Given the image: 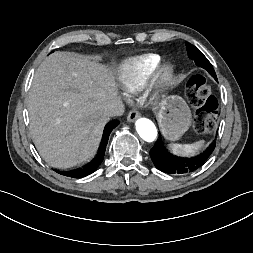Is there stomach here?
<instances>
[{
  "label": "stomach",
  "instance_id": "stomach-1",
  "mask_svg": "<svg viewBox=\"0 0 253 253\" xmlns=\"http://www.w3.org/2000/svg\"><path fill=\"white\" fill-rule=\"evenodd\" d=\"M163 135L170 141L178 140L192 122L191 111L183 98L177 95L164 97L158 112Z\"/></svg>",
  "mask_w": 253,
  "mask_h": 253
}]
</instances>
